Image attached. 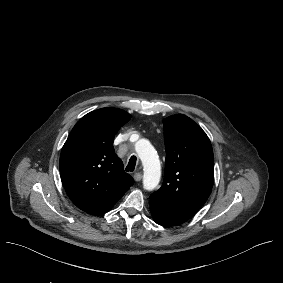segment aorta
<instances>
[{
	"label": "aorta",
	"instance_id": "aorta-1",
	"mask_svg": "<svg viewBox=\"0 0 283 283\" xmlns=\"http://www.w3.org/2000/svg\"><path fill=\"white\" fill-rule=\"evenodd\" d=\"M135 150L143 164V186L146 190L157 187L161 177V165L158 154L147 139H139Z\"/></svg>",
	"mask_w": 283,
	"mask_h": 283
}]
</instances>
